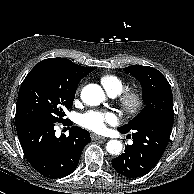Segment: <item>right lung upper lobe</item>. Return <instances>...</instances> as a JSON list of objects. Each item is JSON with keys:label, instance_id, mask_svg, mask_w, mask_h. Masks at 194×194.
<instances>
[{"label": "right lung upper lobe", "instance_id": "obj_1", "mask_svg": "<svg viewBox=\"0 0 194 194\" xmlns=\"http://www.w3.org/2000/svg\"><path fill=\"white\" fill-rule=\"evenodd\" d=\"M51 61L56 67L64 73L72 81L80 82V80L88 75L95 67H83L73 63L72 61L64 58H50L45 59Z\"/></svg>", "mask_w": 194, "mask_h": 194}]
</instances>
